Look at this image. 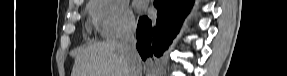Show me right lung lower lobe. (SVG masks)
<instances>
[{
	"mask_svg": "<svg viewBox=\"0 0 287 76\" xmlns=\"http://www.w3.org/2000/svg\"><path fill=\"white\" fill-rule=\"evenodd\" d=\"M193 0H155L157 20L141 17L137 27V49L143 60L161 56L176 37Z\"/></svg>",
	"mask_w": 287,
	"mask_h": 76,
	"instance_id": "obj_1",
	"label": "right lung lower lobe"
}]
</instances>
